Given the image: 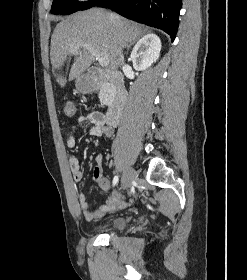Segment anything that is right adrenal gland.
<instances>
[{
  "instance_id": "obj_1",
  "label": "right adrenal gland",
  "mask_w": 247,
  "mask_h": 280,
  "mask_svg": "<svg viewBox=\"0 0 247 280\" xmlns=\"http://www.w3.org/2000/svg\"><path fill=\"white\" fill-rule=\"evenodd\" d=\"M135 42H131V43H129V45L127 46V49L129 50L130 49V47L134 44Z\"/></svg>"
}]
</instances>
